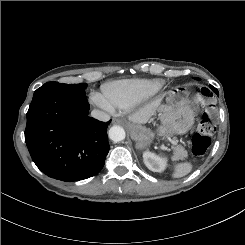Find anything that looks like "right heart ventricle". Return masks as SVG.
Here are the masks:
<instances>
[{
	"instance_id": "1",
	"label": "right heart ventricle",
	"mask_w": 245,
	"mask_h": 245,
	"mask_svg": "<svg viewBox=\"0 0 245 245\" xmlns=\"http://www.w3.org/2000/svg\"><path fill=\"white\" fill-rule=\"evenodd\" d=\"M163 85L161 79H126L105 84L102 91L114 110L128 111L155 94Z\"/></svg>"
}]
</instances>
